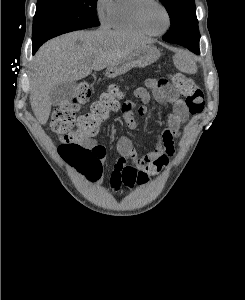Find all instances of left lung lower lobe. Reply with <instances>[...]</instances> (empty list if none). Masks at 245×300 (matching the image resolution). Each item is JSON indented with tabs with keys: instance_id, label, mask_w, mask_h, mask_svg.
I'll use <instances>...</instances> for the list:
<instances>
[{
	"instance_id": "left-lung-lower-lobe-1",
	"label": "left lung lower lobe",
	"mask_w": 245,
	"mask_h": 300,
	"mask_svg": "<svg viewBox=\"0 0 245 300\" xmlns=\"http://www.w3.org/2000/svg\"><path fill=\"white\" fill-rule=\"evenodd\" d=\"M199 39H200V37H198L197 39L192 41L194 44L191 42V40H188L187 38H185L184 40H180V41H174L173 43L182 45L194 53H199Z\"/></svg>"
}]
</instances>
